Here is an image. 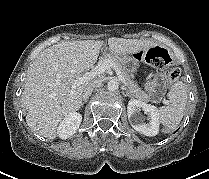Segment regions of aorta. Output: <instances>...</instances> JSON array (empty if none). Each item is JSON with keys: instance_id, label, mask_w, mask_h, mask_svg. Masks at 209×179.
I'll use <instances>...</instances> for the list:
<instances>
[{"instance_id": "obj_1", "label": "aorta", "mask_w": 209, "mask_h": 179, "mask_svg": "<svg viewBox=\"0 0 209 179\" xmlns=\"http://www.w3.org/2000/svg\"><path fill=\"white\" fill-rule=\"evenodd\" d=\"M107 88L109 91H116L119 88V82L116 79H111L107 84Z\"/></svg>"}]
</instances>
